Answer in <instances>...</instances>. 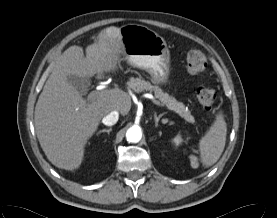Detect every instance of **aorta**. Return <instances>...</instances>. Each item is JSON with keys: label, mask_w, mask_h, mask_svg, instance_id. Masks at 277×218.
Returning <instances> with one entry per match:
<instances>
[{"label": "aorta", "mask_w": 277, "mask_h": 218, "mask_svg": "<svg viewBox=\"0 0 277 218\" xmlns=\"http://www.w3.org/2000/svg\"><path fill=\"white\" fill-rule=\"evenodd\" d=\"M126 138H127V141L131 143L139 142L142 138L141 128L136 125L130 127L126 132Z\"/></svg>", "instance_id": "obj_1"}]
</instances>
